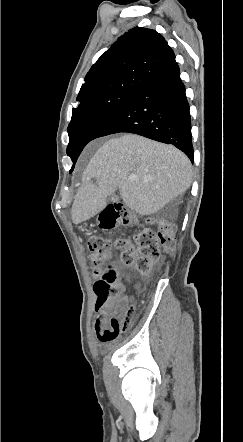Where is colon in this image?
<instances>
[{
  "label": "colon",
  "mask_w": 243,
  "mask_h": 442,
  "mask_svg": "<svg viewBox=\"0 0 243 442\" xmlns=\"http://www.w3.org/2000/svg\"><path fill=\"white\" fill-rule=\"evenodd\" d=\"M136 221L127 208L110 200L108 206L99 214L97 226L104 232H109L117 226H129ZM157 231L146 228L139 232L135 245L126 238H117L114 243L109 237L93 235L88 240L92 274L95 279L94 292L96 294L95 308L104 306L116 307L122 290L119 282V273L110 261L112 244L120 251L121 261L126 266H134L142 276L151 272L152 264L163 253L171 254L175 250V237L167 225L158 223ZM136 315L133 305L127 306L122 312L113 313L109 328L102 334V341H112L121 332L127 331Z\"/></svg>",
  "instance_id": "colon-1"
}]
</instances>
